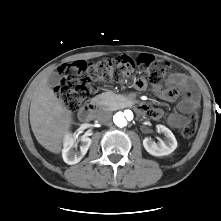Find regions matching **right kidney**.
<instances>
[{
  "mask_svg": "<svg viewBox=\"0 0 221 221\" xmlns=\"http://www.w3.org/2000/svg\"><path fill=\"white\" fill-rule=\"evenodd\" d=\"M81 141L80 151H75L74 148L77 147V142ZM92 140L83 135L78 139V136H72V134H66L64 138V148L62 150V157L65 163L69 165L77 164L87 153Z\"/></svg>",
  "mask_w": 221,
  "mask_h": 221,
  "instance_id": "1",
  "label": "right kidney"
}]
</instances>
